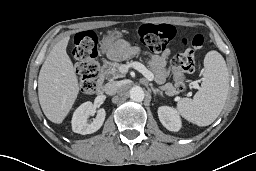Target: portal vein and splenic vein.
I'll return each mask as SVG.
<instances>
[{
	"label": "portal vein and splenic vein",
	"mask_w": 256,
	"mask_h": 171,
	"mask_svg": "<svg viewBox=\"0 0 256 171\" xmlns=\"http://www.w3.org/2000/svg\"><path fill=\"white\" fill-rule=\"evenodd\" d=\"M129 68H134L136 69L137 71H139L140 73H142L146 79L148 81H153L154 80V74L149 71L142 63L140 62H131L129 64H123L121 65L120 67V72L123 73V74H126L129 70ZM198 86L197 85H193L192 88H197Z\"/></svg>",
	"instance_id": "1"
}]
</instances>
